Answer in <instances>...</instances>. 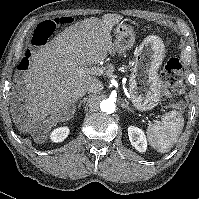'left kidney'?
<instances>
[{
  "instance_id": "1",
  "label": "left kidney",
  "mask_w": 199,
  "mask_h": 199,
  "mask_svg": "<svg viewBox=\"0 0 199 199\" xmlns=\"http://www.w3.org/2000/svg\"><path fill=\"white\" fill-rule=\"evenodd\" d=\"M128 136L132 146H134L137 151H146L147 140L143 130L135 126H130L128 127Z\"/></svg>"
}]
</instances>
